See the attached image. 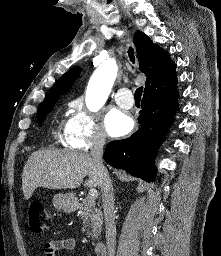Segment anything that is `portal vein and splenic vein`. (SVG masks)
Returning a JSON list of instances; mask_svg holds the SVG:
<instances>
[{
    "instance_id": "portal-vein-and-splenic-vein-1",
    "label": "portal vein and splenic vein",
    "mask_w": 221,
    "mask_h": 256,
    "mask_svg": "<svg viewBox=\"0 0 221 256\" xmlns=\"http://www.w3.org/2000/svg\"><path fill=\"white\" fill-rule=\"evenodd\" d=\"M89 197L94 200L98 197V192L95 188L89 190Z\"/></svg>"
}]
</instances>
